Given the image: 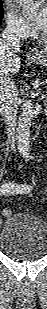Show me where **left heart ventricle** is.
I'll return each instance as SVG.
<instances>
[{
  "label": "left heart ventricle",
  "mask_w": 47,
  "mask_h": 309,
  "mask_svg": "<svg viewBox=\"0 0 47 309\" xmlns=\"http://www.w3.org/2000/svg\"><path fill=\"white\" fill-rule=\"evenodd\" d=\"M41 30H45L46 29V24H43L41 27H40Z\"/></svg>",
  "instance_id": "left-heart-ventricle-1"
}]
</instances>
